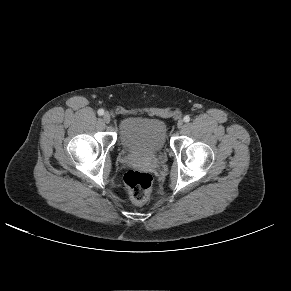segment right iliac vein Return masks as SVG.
Listing matches in <instances>:
<instances>
[{
  "instance_id": "right-iliac-vein-1",
  "label": "right iliac vein",
  "mask_w": 291,
  "mask_h": 291,
  "mask_svg": "<svg viewBox=\"0 0 291 291\" xmlns=\"http://www.w3.org/2000/svg\"><path fill=\"white\" fill-rule=\"evenodd\" d=\"M111 120V117H110V114L108 112H106L104 115H103V121L105 123H109Z\"/></svg>"
}]
</instances>
